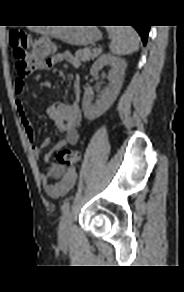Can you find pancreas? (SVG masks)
Returning <instances> with one entry per match:
<instances>
[{
    "label": "pancreas",
    "mask_w": 184,
    "mask_h": 292,
    "mask_svg": "<svg viewBox=\"0 0 184 292\" xmlns=\"http://www.w3.org/2000/svg\"><path fill=\"white\" fill-rule=\"evenodd\" d=\"M99 53L100 52L96 49L84 48L76 51L75 55L77 59L85 62L94 59L99 55Z\"/></svg>",
    "instance_id": "pancreas-1"
}]
</instances>
